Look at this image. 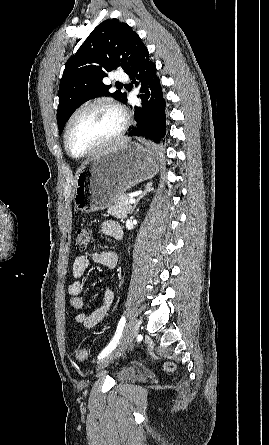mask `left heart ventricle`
<instances>
[{
  "instance_id": "1",
  "label": "left heart ventricle",
  "mask_w": 269,
  "mask_h": 445,
  "mask_svg": "<svg viewBox=\"0 0 269 445\" xmlns=\"http://www.w3.org/2000/svg\"><path fill=\"white\" fill-rule=\"evenodd\" d=\"M120 124L119 115L108 107L85 110L71 124L68 146L74 154H83L111 137Z\"/></svg>"
}]
</instances>
